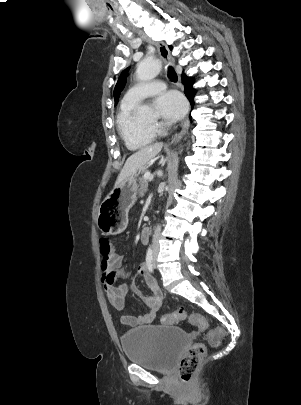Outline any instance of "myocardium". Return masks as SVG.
I'll list each match as a JSON object with an SVG mask.
<instances>
[{
  "label": "myocardium",
  "mask_w": 301,
  "mask_h": 405,
  "mask_svg": "<svg viewBox=\"0 0 301 405\" xmlns=\"http://www.w3.org/2000/svg\"><path fill=\"white\" fill-rule=\"evenodd\" d=\"M144 125L145 128L149 129V130H154L155 126L154 124H147V123H142Z\"/></svg>",
  "instance_id": "obj_1"
}]
</instances>
